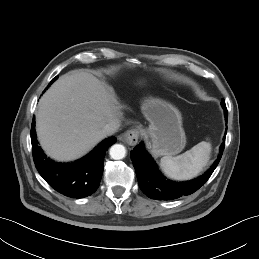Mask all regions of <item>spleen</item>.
Segmentation results:
<instances>
[{
  "instance_id": "1",
  "label": "spleen",
  "mask_w": 259,
  "mask_h": 259,
  "mask_svg": "<svg viewBox=\"0 0 259 259\" xmlns=\"http://www.w3.org/2000/svg\"><path fill=\"white\" fill-rule=\"evenodd\" d=\"M211 154V144L202 141L185 153L161 158L164 173L176 180H187L197 176L207 165Z\"/></svg>"
}]
</instances>
